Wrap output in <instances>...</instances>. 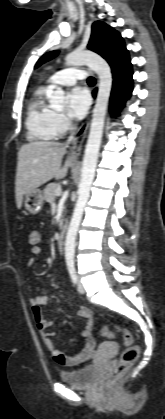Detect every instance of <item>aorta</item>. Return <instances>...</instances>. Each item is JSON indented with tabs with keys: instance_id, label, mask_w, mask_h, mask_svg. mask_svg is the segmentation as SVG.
Wrapping results in <instances>:
<instances>
[{
	"instance_id": "aorta-1",
	"label": "aorta",
	"mask_w": 165,
	"mask_h": 419,
	"mask_svg": "<svg viewBox=\"0 0 165 419\" xmlns=\"http://www.w3.org/2000/svg\"><path fill=\"white\" fill-rule=\"evenodd\" d=\"M65 64L67 66L87 65L98 75L99 78L98 92L90 125V133L82 163L78 199L65 240V259L66 263L69 265L74 263L76 236L95 176V169L101 145L113 78L109 64L102 57L90 51H73L65 57ZM64 100V91L62 88L58 87L50 96V107L60 110L63 108Z\"/></svg>"
}]
</instances>
